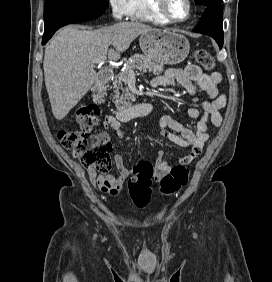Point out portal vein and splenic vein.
Wrapping results in <instances>:
<instances>
[{
	"mask_svg": "<svg viewBox=\"0 0 272 282\" xmlns=\"http://www.w3.org/2000/svg\"><path fill=\"white\" fill-rule=\"evenodd\" d=\"M106 61V56H102L100 59L96 60L95 63L97 64H102ZM129 75H134V71L133 70H130L129 71Z\"/></svg>",
	"mask_w": 272,
	"mask_h": 282,
	"instance_id": "obj_1",
	"label": "portal vein and splenic vein"
}]
</instances>
